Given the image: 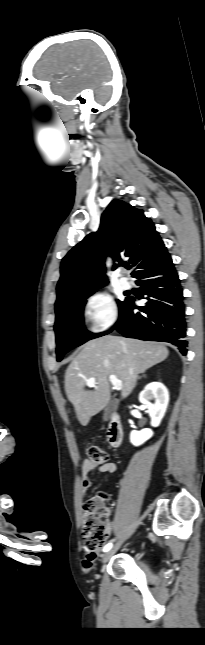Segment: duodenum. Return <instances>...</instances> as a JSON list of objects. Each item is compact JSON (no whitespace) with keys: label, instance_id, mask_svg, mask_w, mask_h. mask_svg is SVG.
<instances>
[{"label":"duodenum","instance_id":"duodenum-1","mask_svg":"<svg viewBox=\"0 0 205 645\" xmlns=\"http://www.w3.org/2000/svg\"><path fill=\"white\" fill-rule=\"evenodd\" d=\"M123 440V426L120 417L113 414L107 428V441L112 447H118Z\"/></svg>","mask_w":205,"mask_h":645}]
</instances>
